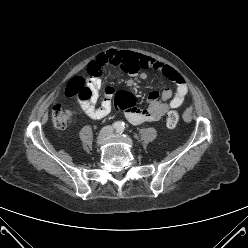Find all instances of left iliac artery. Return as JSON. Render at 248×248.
<instances>
[{
	"label": "left iliac artery",
	"mask_w": 248,
	"mask_h": 248,
	"mask_svg": "<svg viewBox=\"0 0 248 248\" xmlns=\"http://www.w3.org/2000/svg\"><path fill=\"white\" fill-rule=\"evenodd\" d=\"M124 125L117 131L119 134H121L124 131Z\"/></svg>",
	"instance_id": "obj_1"
}]
</instances>
